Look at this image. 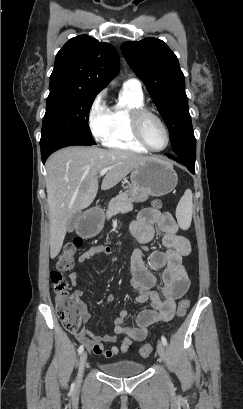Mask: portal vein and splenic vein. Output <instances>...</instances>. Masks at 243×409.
Here are the masks:
<instances>
[{"instance_id": "18ae733b", "label": "portal vein and splenic vein", "mask_w": 243, "mask_h": 409, "mask_svg": "<svg viewBox=\"0 0 243 409\" xmlns=\"http://www.w3.org/2000/svg\"><path fill=\"white\" fill-rule=\"evenodd\" d=\"M107 171H108V168L102 169V170L100 171V173H99V177L104 176V175L107 173Z\"/></svg>"}]
</instances>
